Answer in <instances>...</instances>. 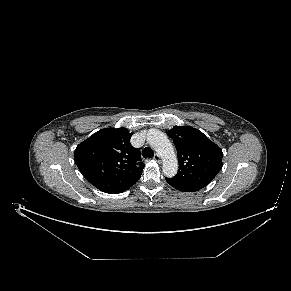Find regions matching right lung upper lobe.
<instances>
[{
  "label": "right lung upper lobe",
  "instance_id": "obj_1",
  "mask_svg": "<svg viewBox=\"0 0 291 291\" xmlns=\"http://www.w3.org/2000/svg\"><path fill=\"white\" fill-rule=\"evenodd\" d=\"M131 136L127 128H105L76 147L75 163L97 189L117 194L139 180L144 164L129 142Z\"/></svg>",
  "mask_w": 291,
  "mask_h": 291
}]
</instances>
